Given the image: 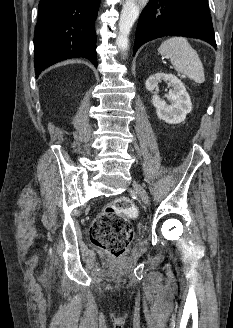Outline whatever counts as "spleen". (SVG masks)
<instances>
[{"mask_svg": "<svg viewBox=\"0 0 233 328\" xmlns=\"http://www.w3.org/2000/svg\"><path fill=\"white\" fill-rule=\"evenodd\" d=\"M160 55L170 59L174 69L201 84L205 81L204 68L197 52L185 37H171L158 48Z\"/></svg>", "mask_w": 233, "mask_h": 328, "instance_id": "obj_1", "label": "spleen"}]
</instances>
